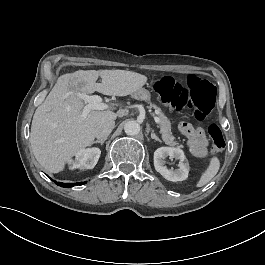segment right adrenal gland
Instances as JSON below:
<instances>
[{"mask_svg": "<svg viewBox=\"0 0 265 265\" xmlns=\"http://www.w3.org/2000/svg\"><path fill=\"white\" fill-rule=\"evenodd\" d=\"M106 140H107V138H106V139H99V140L94 141L93 144H97V143H99L100 145H103V143H104Z\"/></svg>", "mask_w": 265, "mask_h": 265, "instance_id": "1", "label": "right adrenal gland"}]
</instances>
